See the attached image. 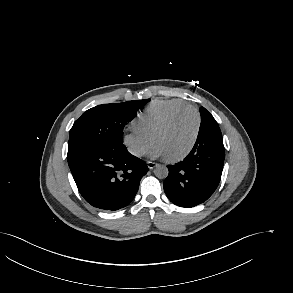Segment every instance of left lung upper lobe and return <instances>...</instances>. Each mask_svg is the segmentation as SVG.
<instances>
[{"label":"left lung upper lobe","instance_id":"1","mask_svg":"<svg viewBox=\"0 0 293 293\" xmlns=\"http://www.w3.org/2000/svg\"><path fill=\"white\" fill-rule=\"evenodd\" d=\"M201 125L198 136L210 133H216L221 135L220 128L214 119V117L204 108H200Z\"/></svg>","mask_w":293,"mask_h":293}]
</instances>
